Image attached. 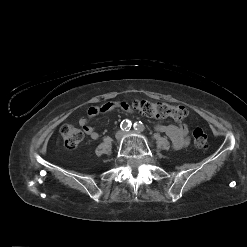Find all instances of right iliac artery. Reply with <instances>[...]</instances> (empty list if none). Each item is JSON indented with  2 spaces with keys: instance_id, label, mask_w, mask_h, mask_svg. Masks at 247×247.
Masks as SVG:
<instances>
[{
  "instance_id": "right-iliac-artery-1",
  "label": "right iliac artery",
  "mask_w": 247,
  "mask_h": 247,
  "mask_svg": "<svg viewBox=\"0 0 247 247\" xmlns=\"http://www.w3.org/2000/svg\"><path fill=\"white\" fill-rule=\"evenodd\" d=\"M130 127H131V121L129 120H123L120 124V128L123 130V131H128L130 130Z\"/></svg>"
}]
</instances>
